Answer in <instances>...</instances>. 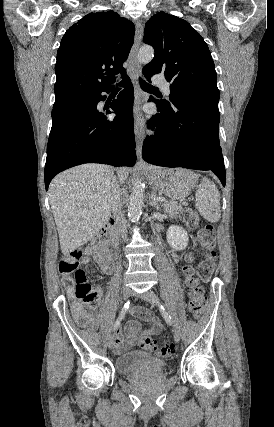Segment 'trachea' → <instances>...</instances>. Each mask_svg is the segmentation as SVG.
<instances>
[{
  "label": "trachea",
  "mask_w": 274,
  "mask_h": 427,
  "mask_svg": "<svg viewBox=\"0 0 274 427\" xmlns=\"http://www.w3.org/2000/svg\"><path fill=\"white\" fill-rule=\"evenodd\" d=\"M140 84H141L142 89L145 91L158 90L157 87H153V85H150L149 83L145 82L142 79H140Z\"/></svg>",
  "instance_id": "trachea-1"
}]
</instances>
